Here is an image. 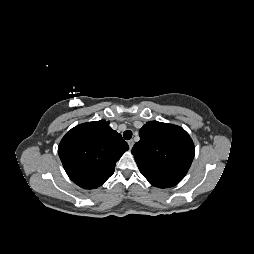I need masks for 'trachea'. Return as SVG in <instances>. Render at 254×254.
<instances>
[{"mask_svg": "<svg viewBox=\"0 0 254 254\" xmlns=\"http://www.w3.org/2000/svg\"><path fill=\"white\" fill-rule=\"evenodd\" d=\"M123 137L125 140H130L132 138V131L130 130H126L124 133H123Z\"/></svg>", "mask_w": 254, "mask_h": 254, "instance_id": "1", "label": "trachea"}]
</instances>
